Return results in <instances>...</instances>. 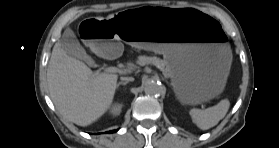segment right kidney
<instances>
[{"label":"right kidney","instance_id":"ca27d5eb","mask_svg":"<svg viewBox=\"0 0 279 148\" xmlns=\"http://www.w3.org/2000/svg\"><path fill=\"white\" fill-rule=\"evenodd\" d=\"M123 105L120 103H115L111 109H110V113L114 116H118L121 113Z\"/></svg>","mask_w":279,"mask_h":148}]
</instances>
